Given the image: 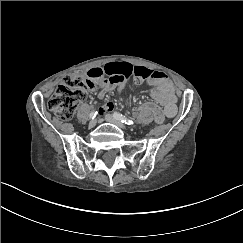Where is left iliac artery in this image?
Masks as SVG:
<instances>
[{
	"label": "left iliac artery",
	"instance_id": "1",
	"mask_svg": "<svg viewBox=\"0 0 243 243\" xmlns=\"http://www.w3.org/2000/svg\"><path fill=\"white\" fill-rule=\"evenodd\" d=\"M113 116H114L117 120H119L120 122L125 123V124H127V125H133V124H134V122H133L131 119L125 117L124 115H122V114H120V113L115 112V113L113 114Z\"/></svg>",
	"mask_w": 243,
	"mask_h": 243
}]
</instances>
